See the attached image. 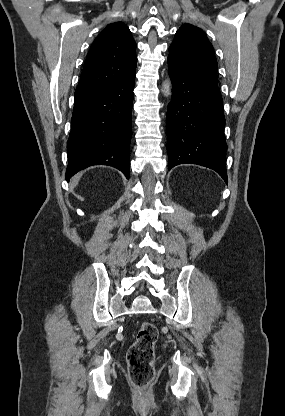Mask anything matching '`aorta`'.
I'll return each mask as SVG.
<instances>
[{
    "mask_svg": "<svg viewBox=\"0 0 285 416\" xmlns=\"http://www.w3.org/2000/svg\"><path fill=\"white\" fill-rule=\"evenodd\" d=\"M163 93L167 96L171 93V83L170 82H165L163 84Z\"/></svg>",
    "mask_w": 285,
    "mask_h": 416,
    "instance_id": "762f6f07",
    "label": "aorta"
}]
</instances>
